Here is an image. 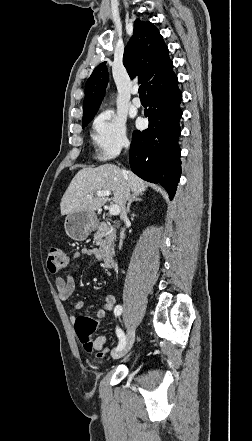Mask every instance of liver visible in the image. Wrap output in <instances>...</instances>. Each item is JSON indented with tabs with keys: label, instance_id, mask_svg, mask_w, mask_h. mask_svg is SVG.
Listing matches in <instances>:
<instances>
[{
	"label": "liver",
	"instance_id": "liver-1",
	"mask_svg": "<svg viewBox=\"0 0 252 441\" xmlns=\"http://www.w3.org/2000/svg\"><path fill=\"white\" fill-rule=\"evenodd\" d=\"M146 189L145 181L133 172L120 169L115 165L104 164L95 168H83L74 176L61 199V215L76 211L98 210L107 202L106 196L96 195L98 191L103 190L113 192V202L121 210L126 190L142 195ZM88 195H92V198H87Z\"/></svg>",
	"mask_w": 252,
	"mask_h": 441
}]
</instances>
